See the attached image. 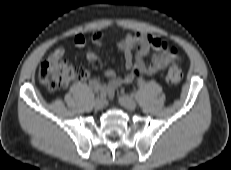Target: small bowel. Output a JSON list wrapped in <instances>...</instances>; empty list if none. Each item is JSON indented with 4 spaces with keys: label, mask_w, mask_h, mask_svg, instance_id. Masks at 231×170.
<instances>
[{
    "label": "small bowel",
    "mask_w": 231,
    "mask_h": 170,
    "mask_svg": "<svg viewBox=\"0 0 231 170\" xmlns=\"http://www.w3.org/2000/svg\"><path fill=\"white\" fill-rule=\"evenodd\" d=\"M92 42L96 46L103 43V34L96 32L92 36ZM74 44L78 48H83L86 39L82 34H76ZM124 54L126 74L118 75L113 69L106 71L107 83L96 77H89V86L95 91H103L112 97L115 90L121 85L132 83L135 79L146 74H154L166 68L177 57L168 51V44L159 37L150 33L138 32L127 34L117 44ZM65 54L63 47L56 48L48 57L49 62L56 63L62 60ZM86 58L90 62L97 60V54L93 51L86 53ZM148 58V61H146Z\"/></svg>",
    "instance_id": "obj_1"
}]
</instances>
